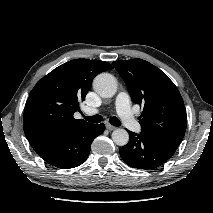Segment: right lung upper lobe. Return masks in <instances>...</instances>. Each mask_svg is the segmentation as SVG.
<instances>
[{
	"instance_id": "obj_1",
	"label": "right lung upper lobe",
	"mask_w": 213,
	"mask_h": 213,
	"mask_svg": "<svg viewBox=\"0 0 213 213\" xmlns=\"http://www.w3.org/2000/svg\"><path fill=\"white\" fill-rule=\"evenodd\" d=\"M113 69L105 61L75 59L52 70L30 92L24 109L26 137H59L88 125L73 117L96 75Z\"/></svg>"
}]
</instances>
